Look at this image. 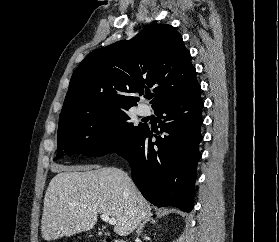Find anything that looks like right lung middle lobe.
I'll return each mask as SVG.
<instances>
[{
	"instance_id": "1",
	"label": "right lung middle lobe",
	"mask_w": 279,
	"mask_h": 242,
	"mask_svg": "<svg viewBox=\"0 0 279 242\" xmlns=\"http://www.w3.org/2000/svg\"><path fill=\"white\" fill-rule=\"evenodd\" d=\"M126 112L105 118H86L59 124L57 159L64 155L83 153L103 156L121 153L143 131L145 125L134 126Z\"/></svg>"
}]
</instances>
